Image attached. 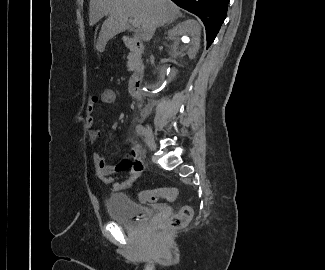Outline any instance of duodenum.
I'll list each match as a JSON object with an SVG mask.
<instances>
[{
  "mask_svg": "<svg viewBox=\"0 0 325 270\" xmlns=\"http://www.w3.org/2000/svg\"><path fill=\"white\" fill-rule=\"evenodd\" d=\"M126 39L130 50V62L135 66L130 79V91L136 98L140 99L143 84V71L140 67V60L144 53V46L142 42L131 36H127Z\"/></svg>",
  "mask_w": 325,
  "mask_h": 270,
  "instance_id": "obj_1",
  "label": "duodenum"
}]
</instances>
